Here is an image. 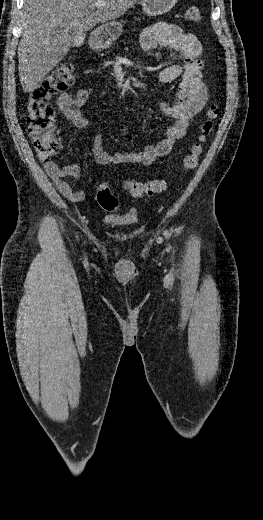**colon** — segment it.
I'll return each mask as SVG.
<instances>
[{
    "instance_id": "1",
    "label": "colon",
    "mask_w": 263,
    "mask_h": 520,
    "mask_svg": "<svg viewBox=\"0 0 263 520\" xmlns=\"http://www.w3.org/2000/svg\"><path fill=\"white\" fill-rule=\"evenodd\" d=\"M185 17L189 21L198 22L201 12L197 6H189ZM74 82V68L69 63H63L53 69L29 94L26 102V119L28 135L38 159L47 163L60 150V143L55 135V112L50 100L59 92L67 90ZM219 115V109L212 105L207 110V119L201 126L199 142L182 160V170L189 171L199 163L203 152V143L213 132L214 123ZM167 183L162 179L148 181H126L124 188L134 198L153 196L163 192ZM97 200L106 211H116L119 207L118 198L112 193L106 183L98 187Z\"/></svg>"
}]
</instances>
